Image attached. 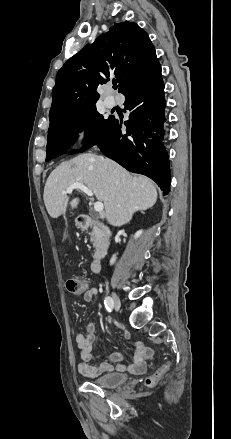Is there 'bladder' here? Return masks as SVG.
I'll return each instance as SVG.
<instances>
[{
  "label": "bladder",
  "mask_w": 231,
  "mask_h": 439,
  "mask_svg": "<svg viewBox=\"0 0 231 439\" xmlns=\"http://www.w3.org/2000/svg\"><path fill=\"white\" fill-rule=\"evenodd\" d=\"M128 380V375L118 372H108L99 375L91 380L92 383L104 387L114 388L124 384Z\"/></svg>",
  "instance_id": "obj_1"
}]
</instances>
